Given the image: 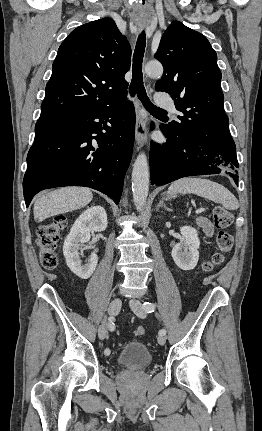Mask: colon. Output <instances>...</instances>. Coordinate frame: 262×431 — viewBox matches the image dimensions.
<instances>
[{"label": "colon", "mask_w": 262, "mask_h": 431, "mask_svg": "<svg viewBox=\"0 0 262 431\" xmlns=\"http://www.w3.org/2000/svg\"><path fill=\"white\" fill-rule=\"evenodd\" d=\"M215 224L219 228L229 227L233 222V215L225 208L217 207L214 210ZM68 220L65 216H57L50 223L42 225L38 230L40 246V261L45 269L52 270L58 265V246L61 234L67 227ZM233 245L232 235L226 230H220L216 236V251L212 257L203 264L205 272H211L223 263L225 255L230 253ZM136 336L145 333L144 327H138L134 331Z\"/></svg>", "instance_id": "1"}]
</instances>
